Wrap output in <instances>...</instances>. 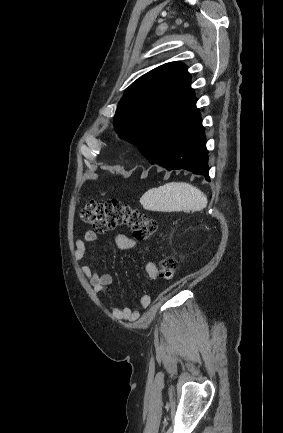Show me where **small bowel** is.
<instances>
[{"label":"small bowel","instance_id":"c3829d8e","mask_svg":"<svg viewBox=\"0 0 283 433\" xmlns=\"http://www.w3.org/2000/svg\"><path fill=\"white\" fill-rule=\"evenodd\" d=\"M98 239L97 233L92 230L85 231L83 238L75 241V258L81 260L86 253V243H94ZM114 245L120 250H127L137 246V242L124 233H119L114 237ZM145 251H148L147 246H142ZM82 273L87 277L96 294L106 293L112 283V277L109 274L100 273L96 269L89 266L81 267ZM145 272L149 279L155 280L158 275V269L155 263L148 262L145 265ZM151 302V297L148 294L141 296L139 300V309H146ZM113 317L119 321L133 322L140 316L139 310H131L126 307L113 306L111 309Z\"/></svg>","mask_w":283,"mask_h":433}]
</instances>
